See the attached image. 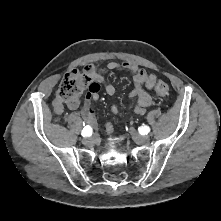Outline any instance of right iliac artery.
<instances>
[{"mask_svg":"<svg viewBox=\"0 0 221 221\" xmlns=\"http://www.w3.org/2000/svg\"><path fill=\"white\" fill-rule=\"evenodd\" d=\"M81 135H82L83 137H89V136H91V135H92V127L89 126V125L85 126L84 129L82 130Z\"/></svg>","mask_w":221,"mask_h":221,"instance_id":"right-iliac-artery-1","label":"right iliac artery"}]
</instances>
